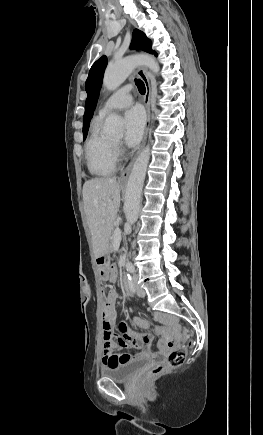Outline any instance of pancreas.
<instances>
[{
	"label": "pancreas",
	"instance_id": "1",
	"mask_svg": "<svg viewBox=\"0 0 263 435\" xmlns=\"http://www.w3.org/2000/svg\"><path fill=\"white\" fill-rule=\"evenodd\" d=\"M113 234H114V230L112 231V235H111V241H112V242L114 241V236H113Z\"/></svg>",
	"mask_w": 263,
	"mask_h": 435
}]
</instances>
